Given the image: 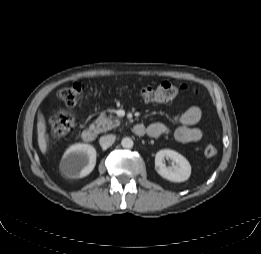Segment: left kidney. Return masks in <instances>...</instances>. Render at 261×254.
Masks as SVG:
<instances>
[{
  "instance_id": "5707ae66",
  "label": "left kidney",
  "mask_w": 261,
  "mask_h": 254,
  "mask_svg": "<svg viewBox=\"0 0 261 254\" xmlns=\"http://www.w3.org/2000/svg\"><path fill=\"white\" fill-rule=\"evenodd\" d=\"M165 158L174 162L172 167H167ZM155 169L157 173L172 182H183L188 180L191 174V165L188 160L178 152L170 149H163L155 156Z\"/></svg>"
}]
</instances>
